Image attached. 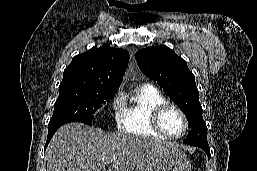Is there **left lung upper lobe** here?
Masks as SVG:
<instances>
[{
    "label": "left lung upper lobe",
    "instance_id": "left-lung-upper-lobe-1",
    "mask_svg": "<svg viewBox=\"0 0 257 171\" xmlns=\"http://www.w3.org/2000/svg\"><path fill=\"white\" fill-rule=\"evenodd\" d=\"M135 58L140 70L157 82L185 113L190 131L183 142L190 145L208 144L195 76L185 60L166 46L139 50Z\"/></svg>",
    "mask_w": 257,
    "mask_h": 171
}]
</instances>
